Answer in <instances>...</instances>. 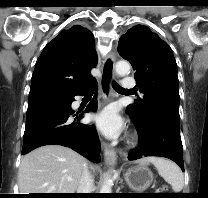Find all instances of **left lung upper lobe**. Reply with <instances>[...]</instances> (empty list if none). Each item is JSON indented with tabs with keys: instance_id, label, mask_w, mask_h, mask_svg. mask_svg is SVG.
Listing matches in <instances>:
<instances>
[{
	"instance_id": "left-lung-upper-lobe-1",
	"label": "left lung upper lobe",
	"mask_w": 208,
	"mask_h": 198,
	"mask_svg": "<svg viewBox=\"0 0 208 198\" xmlns=\"http://www.w3.org/2000/svg\"><path fill=\"white\" fill-rule=\"evenodd\" d=\"M118 52L128 60L143 94L127 107L135 125L152 113H162L179 122L177 64L169 45L142 25L132 27L118 42Z\"/></svg>"
}]
</instances>
